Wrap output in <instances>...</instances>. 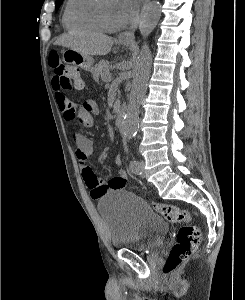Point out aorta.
I'll use <instances>...</instances> for the list:
<instances>
[{"label": "aorta", "mask_w": 245, "mask_h": 300, "mask_svg": "<svg viewBox=\"0 0 245 300\" xmlns=\"http://www.w3.org/2000/svg\"><path fill=\"white\" fill-rule=\"evenodd\" d=\"M160 16L161 5L157 0L144 6L141 12L139 30L143 38V44L133 72L129 103L123 120V132L127 139L133 138L138 130L140 104L146 93L152 59L147 39L156 27Z\"/></svg>", "instance_id": "1"}]
</instances>
